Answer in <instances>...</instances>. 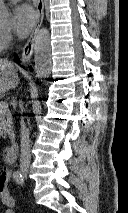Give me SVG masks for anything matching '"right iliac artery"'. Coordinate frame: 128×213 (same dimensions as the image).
I'll use <instances>...</instances> for the list:
<instances>
[{
    "label": "right iliac artery",
    "mask_w": 128,
    "mask_h": 213,
    "mask_svg": "<svg viewBox=\"0 0 128 213\" xmlns=\"http://www.w3.org/2000/svg\"><path fill=\"white\" fill-rule=\"evenodd\" d=\"M13 178L17 184H20V185L24 184V177L19 171H14Z\"/></svg>",
    "instance_id": "right-iliac-artery-1"
}]
</instances>
